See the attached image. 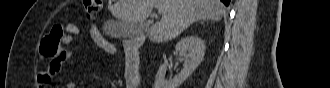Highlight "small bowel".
Segmentation results:
<instances>
[{"label":"small bowel","instance_id":"obj_1","mask_svg":"<svg viewBox=\"0 0 330 88\" xmlns=\"http://www.w3.org/2000/svg\"><path fill=\"white\" fill-rule=\"evenodd\" d=\"M65 29V36L61 40V46H67L71 43H73L79 36V28L72 23H68L64 26ZM108 52L113 53L114 50H106ZM41 55H44V53L41 51ZM73 56V51L67 48H62L61 54L59 57L56 58L54 61V64H50V66L41 71L39 76H38V83L40 86L44 87L47 85H50L55 77L57 72L60 70L61 64H63L65 61L69 60ZM127 69H132L128 64H126V71ZM64 88H74L75 83L74 82H68L64 86Z\"/></svg>","mask_w":330,"mask_h":88}]
</instances>
